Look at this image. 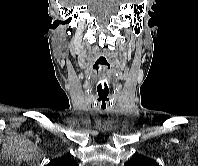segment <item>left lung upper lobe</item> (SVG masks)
Listing matches in <instances>:
<instances>
[{
    "instance_id": "5c2ea615",
    "label": "left lung upper lobe",
    "mask_w": 198,
    "mask_h": 166,
    "mask_svg": "<svg viewBox=\"0 0 198 166\" xmlns=\"http://www.w3.org/2000/svg\"><path fill=\"white\" fill-rule=\"evenodd\" d=\"M125 166H159V164L144 155H136L126 162Z\"/></svg>"
}]
</instances>
